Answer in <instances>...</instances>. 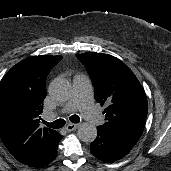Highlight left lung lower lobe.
<instances>
[{
  "label": "left lung lower lobe",
  "instance_id": "1",
  "mask_svg": "<svg viewBox=\"0 0 171 171\" xmlns=\"http://www.w3.org/2000/svg\"><path fill=\"white\" fill-rule=\"evenodd\" d=\"M97 137L90 145L91 153L104 162H114L129 153L131 144L110 132L97 127Z\"/></svg>",
  "mask_w": 171,
  "mask_h": 171
}]
</instances>
